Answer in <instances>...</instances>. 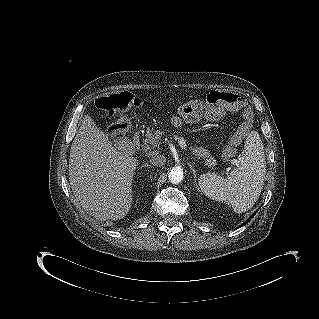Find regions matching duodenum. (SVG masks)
Returning a JSON list of instances; mask_svg holds the SVG:
<instances>
[{
    "instance_id": "duodenum-1",
    "label": "duodenum",
    "mask_w": 319,
    "mask_h": 319,
    "mask_svg": "<svg viewBox=\"0 0 319 319\" xmlns=\"http://www.w3.org/2000/svg\"><path fill=\"white\" fill-rule=\"evenodd\" d=\"M140 141H141V132L140 131H136L133 134L132 137V144L135 148H138L140 146Z\"/></svg>"
}]
</instances>
